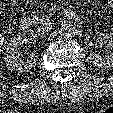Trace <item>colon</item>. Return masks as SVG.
I'll list each match as a JSON object with an SVG mask.
<instances>
[{"instance_id":"obj_1","label":"colon","mask_w":113,"mask_h":113,"mask_svg":"<svg viewBox=\"0 0 113 113\" xmlns=\"http://www.w3.org/2000/svg\"><path fill=\"white\" fill-rule=\"evenodd\" d=\"M3 44H4V37H3V35L0 33V49L2 48Z\"/></svg>"}]
</instances>
